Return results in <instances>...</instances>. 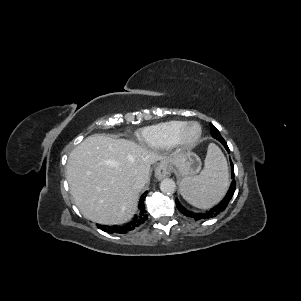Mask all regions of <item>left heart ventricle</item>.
<instances>
[{"label":"left heart ventricle","mask_w":301,"mask_h":301,"mask_svg":"<svg viewBox=\"0 0 301 301\" xmlns=\"http://www.w3.org/2000/svg\"><path fill=\"white\" fill-rule=\"evenodd\" d=\"M197 132V129L196 128H193L190 132V135L193 136L195 133Z\"/></svg>","instance_id":"obj_1"}]
</instances>
